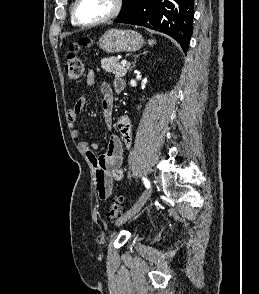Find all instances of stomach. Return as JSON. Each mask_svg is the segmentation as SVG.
<instances>
[{"instance_id":"0dacf381","label":"stomach","mask_w":259,"mask_h":294,"mask_svg":"<svg viewBox=\"0 0 259 294\" xmlns=\"http://www.w3.org/2000/svg\"><path fill=\"white\" fill-rule=\"evenodd\" d=\"M144 44L142 35L131 30L110 29L98 41L99 47L107 53L135 52Z\"/></svg>"}]
</instances>
